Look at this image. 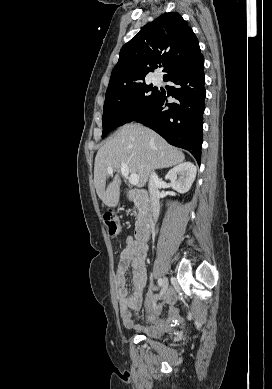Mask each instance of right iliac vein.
I'll use <instances>...</instances> for the list:
<instances>
[{
    "label": "right iliac vein",
    "mask_w": 272,
    "mask_h": 389,
    "mask_svg": "<svg viewBox=\"0 0 272 389\" xmlns=\"http://www.w3.org/2000/svg\"><path fill=\"white\" fill-rule=\"evenodd\" d=\"M167 289H168V279L166 277H164L161 293L164 294Z\"/></svg>",
    "instance_id": "obj_1"
}]
</instances>
